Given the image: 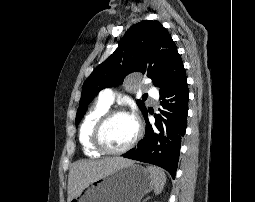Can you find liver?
I'll list each match as a JSON object with an SVG mask.
<instances>
[{
    "mask_svg": "<svg viewBox=\"0 0 255 202\" xmlns=\"http://www.w3.org/2000/svg\"><path fill=\"white\" fill-rule=\"evenodd\" d=\"M130 164H132L131 160L122 157L75 162L69 171L67 202H71L93 181Z\"/></svg>",
    "mask_w": 255,
    "mask_h": 202,
    "instance_id": "6515ba94",
    "label": "liver"
}]
</instances>
